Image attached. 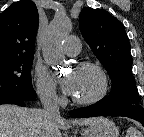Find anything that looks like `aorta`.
Returning <instances> with one entry per match:
<instances>
[{
    "instance_id": "aorta-1",
    "label": "aorta",
    "mask_w": 144,
    "mask_h": 137,
    "mask_svg": "<svg viewBox=\"0 0 144 137\" xmlns=\"http://www.w3.org/2000/svg\"><path fill=\"white\" fill-rule=\"evenodd\" d=\"M71 28V21L67 17L55 16L46 31L43 40V57L53 68L62 67L65 63L62 47Z\"/></svg>"
}]
</instances>
